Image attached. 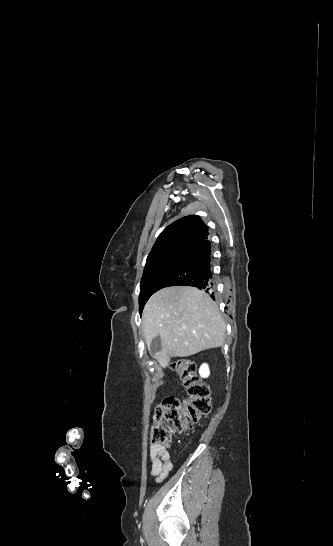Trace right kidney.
I'll use <instances>...</instances> for the list:
<instances>
[{
	"label": "right kidney",
	"mask_w": 333,
	"mask_h": 546,
	"mask_svg": "<svg viewBox=\"0 0 333 546\" xmlns=\"http://www.w3.org/2000/svg\"><path fill=\"white\" fill-rule=\"evenodd\" d=\"M199 373L202 377L206 378L209 376L210 374V371H209V367L207 364H203L200 369H199Z\"/></svg>",
	"instance_id": "1"
}]
</instances>
